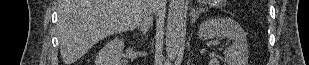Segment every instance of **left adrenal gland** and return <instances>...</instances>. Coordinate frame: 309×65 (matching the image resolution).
<instances>
[{
  "mask_svg": "<svg viewBox=\"0 0 309 65\" xmlns=\"http://www.w3.org/2000/svg\"><path fill=\"white\" fill-rule=\"evenodd\" d=\"M201 14V10L194 9L191 13V23H195V21L198 19L199 15Z\"/></svg>",
  "mask_w": 309,
  "mask_h": 65,
  "instance_id": "obj_1",
  "label": "left adrenal gland"
}]
</instances>
